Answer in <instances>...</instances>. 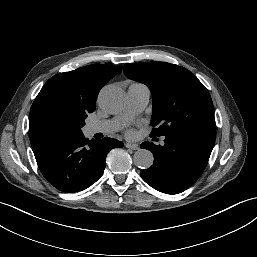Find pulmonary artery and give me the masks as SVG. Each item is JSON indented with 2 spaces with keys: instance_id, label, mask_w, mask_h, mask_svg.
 <instances>
[{
  "instance_id": "1",
  "label": "pulmonary artery",
  "mask_w": 257,
  "mask_h": 257,
  "mask_svg": "<svg viewBox=\"0 0 257 257\" xmlns=\"http://www.w3.org/2000/svg\"><path fill=\"white\" fill-rule=\"evenodd\" d=\"M150 91L143 84H132L127 91L126 111L113 119L93 122L87 125L88 134L110 133L121 128L132 116L140 113L148 104Z\"/></svg>"
}]
</instances>
